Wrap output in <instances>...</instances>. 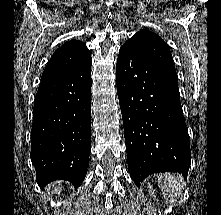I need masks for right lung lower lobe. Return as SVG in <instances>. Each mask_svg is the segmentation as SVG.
<instances>
[{
    "instance_id": "obj_1",
    "label": "right lung lower lobe",
    "mask_w": 221,
    "mask_h": 215,
    "mask_svg": "<svg viewBox=\"0 0 221 215\" xmlns=\"http://www.w3.org/2000/svg\"><path fill=\"white\" fill-rule=\"evenodd\" d=\"M91 57L41 80L34 101L31 161L37 182L84 181L91 152Z\"/></svg>"
}]
</instances>
